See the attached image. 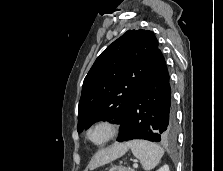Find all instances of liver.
Here are the masks:
<instances>
[{"mask_svg": "<svg viewBox=\"0 0 223 171\" xmlns=\"http://www.w3.org/2000/svg\"><path fill=\"white\" fill-rule=\"evenodd\" d=\"M129 148V143H118L97 152L89 164V169L94 170L99 166L105 165L117 158H120L128 151Z\"/></svg>", "mask_w": 223, "mask_h": 171, "instance_id": "1", "label": "liver"}]
</instances>
